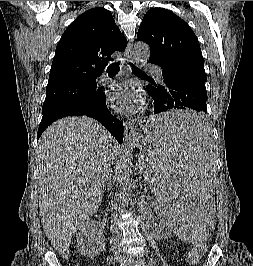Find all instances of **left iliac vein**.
Instances as JSON below:
<instances>
[{"label": "left iliac vein", "mask_w": 253, "mask_h": 266, "mask_svg": "<svg viewBox=\"0 0 253 266\" xmlns=\"http://www.w3.org/2000/svg\"><path fill=\"white\" fill-rule=\"evenodd\" d=\"M127 259H128V265L129 266H145L141 259H136L134 256L132 255H127Z\"/></svg>", "instance_id": "4c4485c4"}]
</instances>
